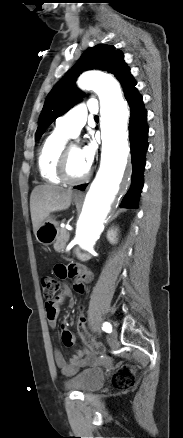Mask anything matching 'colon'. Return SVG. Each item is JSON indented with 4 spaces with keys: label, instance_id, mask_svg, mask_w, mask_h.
Wrapping results in <instances>:
<instances>
[{
    "label": "colon",
    "instance_id": "obj_1",
    "mask_svg": "<svg viewBox=\"0 0 183 438\" xmlns=\"http://www.w3.org/2000/svg\"><path fill=\"white\" fill-rule=\"evenodd\" d=\"M43 295L48 301H52L60 289L58 280L51 276H45L41 280ZM88 315L84 307L80 308L77 321V330L82 341L95 353L102 354L105 351L101 343H97L92 338L87 329ZM136 381L135 370L130 365L120 366L112 377V383L118 390H128L134 386Z\"/></svg>",
    "mask_w": 183,
    "mask_h": 438
}]
</instances>
